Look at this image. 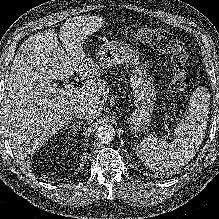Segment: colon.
<instances>
[{
    "label": "colon",
    "mask_w": 219,
    "mask_h": 219,
    "mask_svg": "<svg viewBox=\"0 0 219 219\" xmlns=\"http://www.w3.org/2000/svg\"><path fill=\"white\" fill-rule=\"evenodd\" d=\"M125 37L131 40L146 42L160 51L170 54L172 65V81L170 90L172 93L184 91L190 79L186 75L188 52L184 41L164 30H154L144 27L129 26L123 31Z\"/></svg>",
    "instance_id": "obj_1"
}]
</instances>
